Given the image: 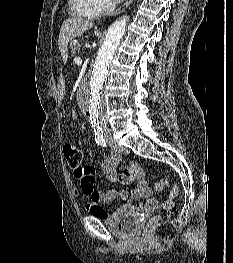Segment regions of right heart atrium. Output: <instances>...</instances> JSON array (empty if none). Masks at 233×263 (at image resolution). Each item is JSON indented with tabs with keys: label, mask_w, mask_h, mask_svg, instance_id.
<instances>
[{
	"label": "right heart atrium",
	"mask_w": 233,
	"mask_h": 263,
	"mask_svg": "<svg viewBox=\"0 0 233 263\" xmlns=\"http://www.w3.org/2000/svg\"><path fill=\"white\" fill-rule=\"evenodd\" d=\"M99 12H105L112 8L113 0H94Z\"/></svg>",
	"instance_id": "d8ad5b80"
}]
</instances>
